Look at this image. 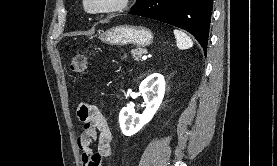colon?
<instances>
[{"instance_id":"obj_1","label":"colon","mask_w":277,"mask_h":166,"mask_svg":"<svg viewBox=\"0 0 277 166\" xmlns=\"http://www.w3.org/2000/svg\"><path fill=\"white\" fill-rule=\"evenodd\" d=\"M71 71L79 74L86 73L88 69L87 56L84 53L76 54L70 64Z\"/></svg>"}]
</instances>
